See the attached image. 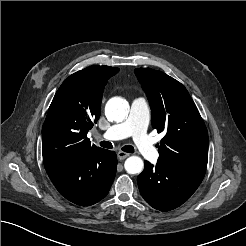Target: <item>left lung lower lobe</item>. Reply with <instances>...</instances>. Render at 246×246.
<instances>
[{
	"mask_svg": "<svg viewBox=\"0 0 246 246\" xmlns=\"http://www.w3.org/2000/svg\"><path fill=\"white\" fill-rule=\"evenodd\" d=\"M206 168L173 161H158L153 166L145 161L138 176L140 193L145 201L160 211H170L186 202L196 191Z\"/></svg>",
	"mask_w": 246,
	"mask_h": 246,
	"instance_id": "left-lung-lower-lobe-1",
	"label": "left lung lower lobe"
}]
</instances>
